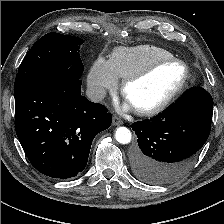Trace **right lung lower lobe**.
Wrapping results in <instances>:
<instances>
[{
	"label": "right lung lower lobe",
	"instance_id": "1",
	"mask_svg": "<svg viewBox=\"0 0 224 224\" xmlns=\"http://www.w3.org/2000/svg\"><path fill=\"white\" fill-rule=\"evenodd\" d=\"M80 79L50 77L15 95V131L42 174L66 179L84 170L94 137L111 125L107 109L81 95Z\"/></svg>",
	"mask_w": 224,
	"mask_h": 224
}]
</instances>
